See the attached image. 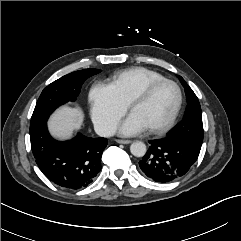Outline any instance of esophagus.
Here are the masks:
<instances>
[{
  "instance_id": "esophagus-1",
  "label": "esophagus",
  "mask_w": 241,
  "mask_h": 241,
  "mask_svg": "<svg viewBox=\"0 0 241 241\" xmlns=\"http://www.w3.org/2000/svg\"><path fill=\"white\" fill-rule=\"evenodd\" d=\"M117 143H120V144H130L132 141L131 140H121V139H118L116 140Z\"/></svg>"
}]
</instances>
